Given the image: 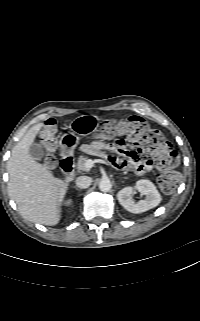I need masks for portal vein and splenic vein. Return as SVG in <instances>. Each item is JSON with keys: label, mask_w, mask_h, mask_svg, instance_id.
Listing matches in <instances>:
<instances>
[{"label": "portal vein and splenic vein", "mask_w": 200, "mask_h": 321, "mask_svg": "<svg viewBox=\"0 0 200 321\" xmlns=\"http://www.w3.org/2000/svg\"><path fill=\"white\" fill-rule=\"evenodd\" d=\"M95 161L88 159L85 163V167L89 170L94 166Z\"/></svg>", "instance_id": "portal-vein-and-splenic-vein-1"}]
</instances>
